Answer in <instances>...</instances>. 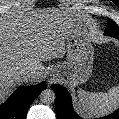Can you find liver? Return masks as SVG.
Returning a JSON list of instances; mask_svg holds the SVG:
<instances>
[{"label":"liver","instance_id":"1","mask_svg":"<svg viewBox=\"0 0 119 119\" xmlns=\"http://www.w3.org/2000/svg\"><path fill=\"white\" fill-rule=\"evenodd\" d=\"M61 15L64 27L41 36L39 23L24 18L0 19V102L19 85L24 83L21 70L33 67L35 74L28 81L38 82L43 78L42 62L63 58L74 23ZM68 19V20H67Z\"/></svg>","mask_w":119,"mask_h":119}]
</instances>
